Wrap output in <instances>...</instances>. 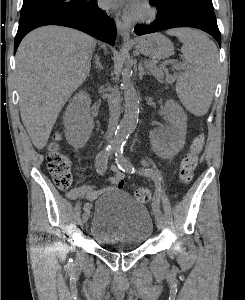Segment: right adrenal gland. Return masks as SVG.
Listing matches in <instances>:
<instances>
[{
  "mask_svg": "<svg viewBox=\"0 0 245 300\" xmlns=\"http://www.w3.org/2000/svg\"><path fill=\"white\" fill-rule=\"evenodd\" d=\"M95 63H96V65L94 66L95 69H99V70L103 69L98 55L95 56Z\"/></svg>",
  "mask_w": 245,
  "mask_h": 300,
  "instance_id": "obj_1",
  "label": "right adrenal gland"
}]
</instances>
